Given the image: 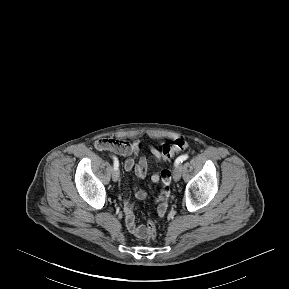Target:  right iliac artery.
<instances>
[{"mask_svg": "<svg viewBox=\"0 0 289 289\" xmlns=\"http://www.w3.org/2000/svg\"><path fill=\"white\" fill-rule=\"evenodd\" d=\"M119 167V162L116 157H114V169L117 170Z\"/></svg>", "mask_w": 289, "mask_h": 289, "instance_id": "1", "label": "right iliac artery"}]
</instances>
